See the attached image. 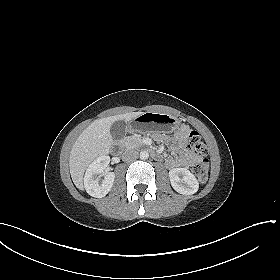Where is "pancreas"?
<instances>
[{
  "label": "pancreas",
  "mask_w": 280,
  "mask_h": 280,
  "mask_svg": "<svg viewBox=\"0 0 280 280\" xmlns=\"http://www.w3.org/2000/svg\"><path fill=\"white\" fill-rule=\"evenodd\" d=\"M142 145V141L139 137L130 136L125 139V146L126 147H139Z\"/></svg>",
  "instance_id": "cf45deb5"
}]
</instances>
